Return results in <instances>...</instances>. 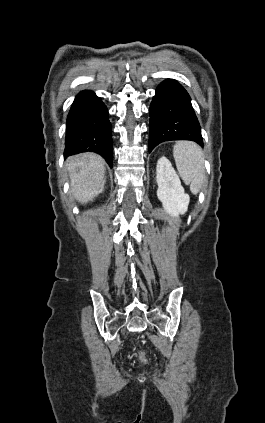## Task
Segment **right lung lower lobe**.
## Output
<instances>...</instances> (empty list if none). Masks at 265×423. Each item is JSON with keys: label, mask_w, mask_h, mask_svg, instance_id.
Masks as SVG:
<instances>
[{"label": "right lung lower lobe", "mask_w": 265, "mask_h": 423, "mask_svg": "<svg viewBox=\"0 0 265 423\" xmlns=\"http://www.w3.org/2000/svg\"><path fill=\"white\" fill-rule=\"evenodd\" d=\"M100 154L112 168L113 147L108 111L94 92H80L66 121L65 156L82 152Z\"/></svg>", "instance_id": "obj_1"}]
</instances>
